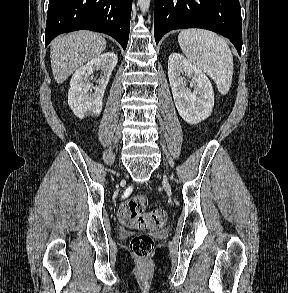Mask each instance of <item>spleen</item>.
<instances>
[{
  "label": "spleen",
  "mask_w": 288,
  "mask_h": 293,
  "mask_svg": "<svg viewBox=\"0 0 288 293\" xmlns=\"http://www.w3.org/2000/svg\"><path fill=\"white\" fill-rule=\"evenodd\" d=\"M178 42L190 63L209 75L220 93H228L233 77V57L227 42L203 29L181 31Z\"/></svg>",
  "instance_id": "spleen-1"
}]
</instances>
